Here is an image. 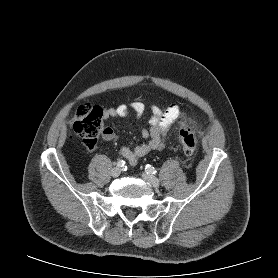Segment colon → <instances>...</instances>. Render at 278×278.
<instances>
[{"instance_id":"colon-1","label":"colon","mask_w":278,"mask_h":278,"mask_svg":"<svg viewBox=\"0 0 278 278\" xmlns=\"http://www.w3.org/2000/svg\"><path fill=\"white\" fill-rule=\"evenodd\" d=\"M104 118L105 113L99 106L85 104L77 109L72 127L87 148H94L98 138L104 133ZM178 137L184 154L187 157H192L197 148L193 130L184 125L178 130Z\"/></svg>"}]
</instances>
